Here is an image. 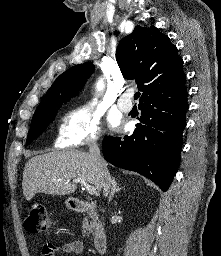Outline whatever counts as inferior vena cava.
I'll return each mask as SVG.
<instances>
[{"instance_id": "obj_1", "label": "inferior vena cava", "mask_w": 221, "mask_h": 256, "mask_svg": "<svg viewBox=\"0 0 221 256\" xmlns=\"http://www.w3.org/2000/svg\"><path fill=\"white\" fill-rule=\"evenodd\" d=\"M89 152H90L91 156L98 163V166L101 171V186L103 189V194L105 197H107L109 194V191H110L112 181H111L110 174L108 173V170L106 169L105 165L102 162V158L100 155V149L97 144V138L93 139V141L90 145V148H89Z\"/></svg>"}]
</instances>
